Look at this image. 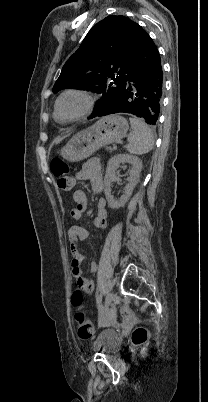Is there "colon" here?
I'll use <instances>...</instances> for the list:
<instances>
[{"instance_id":"5ec220e1","label":"colon","mask_w":208,"mask_h":402,"mask_svg":"<svg viewBox=\"0 0 208 402\" xmlns=\"http://www.w3.org/2000/svg\"><path fill=\"white\" fill-rule=\"evenodd\" d=\"M51 172L55 178V184L60 191L63 192H71L74 188L75 179L74 176L69 173L68 164L57 158L50 163ZM83 295L79 290H75L72 297V304L74 306H82L83 305ZM121 315L124 319L123 324L126 327L131 326L132 321L128 318L131 313L130 308L128 307V303H123V307L120 310ZM77 322V330L78 335L81 339H89L94 331V323L92 320L87 319L82 311H78L76 316ZM131 336L137 342L142 341L144 338H147L148 331L144 324H139L137 329H132Z\"/></svg>"}]
</instances>
